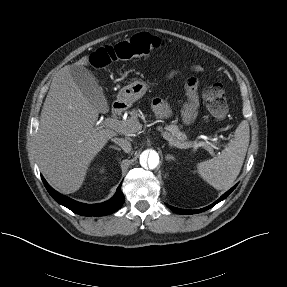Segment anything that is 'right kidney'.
Returning <instances> with one entry per match:
<instances>
[{"instance_id":"1","label":"right kidney","mask_w":287,"mask_h":287,"mask_svg":"<svg viewBox=\"0 0 287 287\" xmlns=\"http://www.w3.org/2000/svg\"><path fill=\"white\" fill-rule=\"evenodd\" d=\"M104 171V169L102 168L101 170H100V172H103Z\"/></svg>"}]
</instances>
